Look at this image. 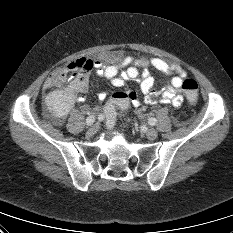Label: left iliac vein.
Segmentation results:
<instances>
[{
  "instance_id": "left-iliac-vein-1",
  "label": "left iliac vein",
  "mask_w": 233,
  "mask_h": 233,
  "mask_svg": "<svg viewBox=\"0 0 233 233\" xmlns=\"http://www.w3.org/2000/svg\"><path fill=\"white\" fill-rule=\"evenodd\" d=\"M145 135L149 140H155L158 136V132L155 129L151 128L145 130Z\"/></svg>"
}]
</instances>
